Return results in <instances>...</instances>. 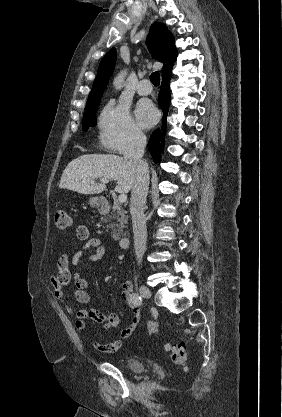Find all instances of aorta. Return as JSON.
Masks as SVG:
<instances>
[{
    "mask_svg": "<svg viewBox=\"0 0 282 417\" xmlns=\"http://www.w3.org/2000/svg\"><path fill=\"white\" fill-rule=\"evenodd\" d=\"M125 76H126V70H121V72H119V74H117V76H115V78L113 80V84H114L115 88H121L122 82H123Z\"/></svg>",
    "mask_w": 282,
    "mask_h": 417,
    "instance_id": "obj_1",
    "label": "aorta"
}]
</instances>
